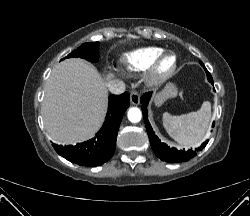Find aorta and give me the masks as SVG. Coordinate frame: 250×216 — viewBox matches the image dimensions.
<instances>
[{
	"label": "aorta",
	"mask_w": 250,
	"mask_h": 216,
	"mask_svg": "<svg viewBox=\"0 0 250 216\" xmlns=\"http://www.w3.org/2000/svg\"><path fill=\"white\" fill-rule=\"evenodd\" d=\"M127 116L130 122L138 123L142 118V113L139 108L132 107L129 109Z\"/></svg>",
	"instance_id": "obj_1"
}]
</instances>
